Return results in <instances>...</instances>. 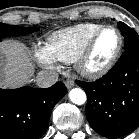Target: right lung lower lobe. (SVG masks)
I'll list each match as a JSON object with an SVG mask.
<instances>
[{
	"mask_svg": "<svg viewBox=\"0 0 139 139\" xmlns=\"http://www.w3.org/2000/svg\"><path fill=\"white\" fill-rule=\"evenodd\" d=\"M66 93L61 81L45 89H0V139L40 138L48 128L53 107Z\"/></svg>",
	"mask_w": 139,
	"mask_h": 139,
	"instance_id": "obj_1",
	"label": "right lung lower lobe"
}]
</instances>
